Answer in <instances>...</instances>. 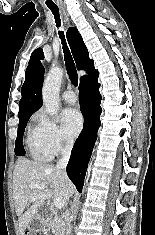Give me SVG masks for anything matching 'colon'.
<instances>
[{
    "label": "colon",
    "instance_id": "1",
    "mask_svg": "<svg viewBox=\"0 0 155 235\" xmlns=\"http://www.w3.org/2000/svg\"><path fill=\"white\" fill-rule=\"evenodd\" d=\"M26 235H36L35 233H27Z\"/></svg>",
    "mask_w": 155,
    "mask_h": 235
}]
</instances>
